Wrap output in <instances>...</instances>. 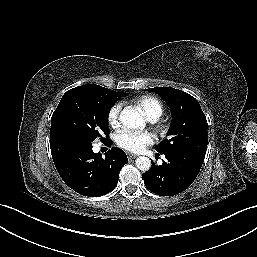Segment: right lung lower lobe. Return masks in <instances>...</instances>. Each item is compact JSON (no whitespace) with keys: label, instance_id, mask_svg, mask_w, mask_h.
I'll return each mask as SVG.
<instances>
[{"label":"right lung lower lobe","instance_id":"1","mask_svg":"<svg viewBox=\"0 0 257 257\" xmlns=\"http://www.w3.org/2000/svg\"><path fill=\"white\" fill-rule=\"evenodd\" d=\"M50 148L60 177L71 189L84 196H102L112 191L121 168L128 162L120 148L113 147L102 158L100 153L92 151L91 141L81 138L50 141Z\"/></svg>","mask_w":257,"mask_h":257}]
</instances>
